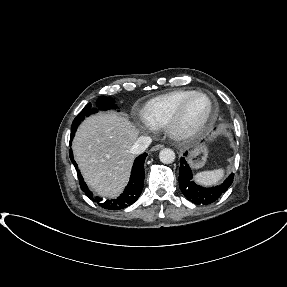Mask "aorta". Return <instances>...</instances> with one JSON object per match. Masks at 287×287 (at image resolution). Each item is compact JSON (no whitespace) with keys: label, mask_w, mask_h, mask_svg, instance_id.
<instances>
[{"label":"aorta","mask_w":287,"mask_h":287,"mask_svg":"<svg viewBox=\"0 0 287 287\" xmlns=\"http://www.w3.org/2000/svg\"><path fill=\"white\" fill-rule=\"evenodd\" d=\"M175 153L170 148H164L159 153V159L163 164L173 163L175 160Z\"/></svg>","instance_id":"1"}]
</instances>
